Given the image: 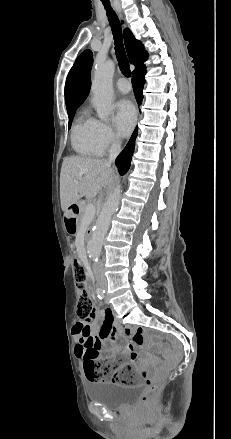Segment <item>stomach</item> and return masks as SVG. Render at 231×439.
Segmentation results:
<instances>
[{
    "instance_id": "0dacf381",
    "label": "stomach",
    "mask_w": 231,
    "mask_h": 439,
    "mask_svg": "<svg viewBox=\"0 0 231 439\" xmlns=\"http://www.w3.org/2000/svg\"><path fill=\"white\" fill-rule=\"evenodd\" d=\"M66 229L69 233H74V226L69 222V216H67L66 220Z\"/></svg>"
}]
</instances>
